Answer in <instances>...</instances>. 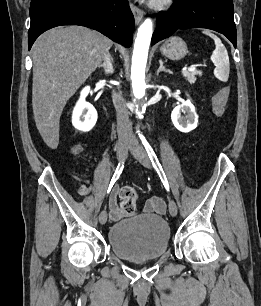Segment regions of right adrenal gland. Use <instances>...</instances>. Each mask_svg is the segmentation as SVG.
Returning a JSON list of instances; mask_svg holds the SVG:
<instances>
[{
	"mask_svg": "<svg viewBox=\"0 0 261 306\" xmlns=\"http://www.w3.org/2000/svg\"><path fill=\"white\" fill-rule=\"evenodd\" d=\"M98 67L103 69L105 75L112 74L114 72V67L111 55L109 54L104 60V63L99 65Z\"/></svg>",
	"mask_w": 261,
	"mask_h": 306,
	"instance_id": "2a0ac1e0",
	"label": "right adrenal gland"
}]
</instances>
